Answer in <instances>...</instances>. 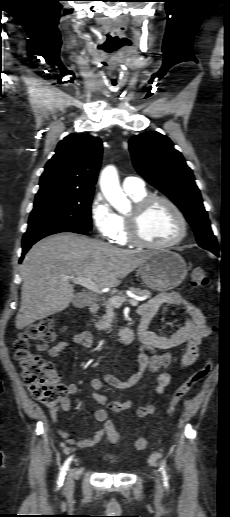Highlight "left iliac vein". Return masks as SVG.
<instances>
[{
  "label": "left iliac vein",
  "mask_w": 230,
  "mask_h": 517,
  "mask_svg": "<svg viewBox=\"0 0 230 517\" xmlns=\"http://www.w3.org/2000/svg\"><path fill=\"white\" fill-rule=\"evenodd\" d=\"M155 485L158 493L162 492L161 480L158 474H155Z\"/></svg>",
  "instance_id": "4c4485c4"
}]
</instances>
